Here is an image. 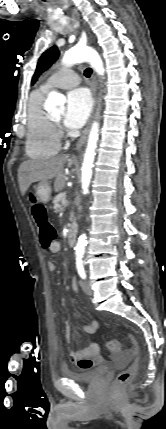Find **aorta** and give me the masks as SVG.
<instances>
[{"instance_id": "obj_1", "label": "aorta", "mask_w": 166, "mask_h": 429, "mask_svg": "<svg viewBox=\"0 0 166 429\" xmlns=\"http://www.w3.org/2000/svg\"><path fill=\"white\" fill-rule=\"evenodd\" d=\"M89 62L91 66L99 75L104 74L103 62L99 54L90 47L87 46H75L70 50L66 51L63 56L62 62L67 65ZM65 103V97L55 91L51 92L46 101V106L49 109H55L58 106H62ZM99 123L94 122L89 134L87 142V148L84 155V161L82 164V189L83 193L87 194L89 191V185L92 178V168L94 166V159L96 155L97 141H98ZM86 236L80 235L78 238L75 251L77 253H83L86 246Z\"/></svg>"}]
</instances>
